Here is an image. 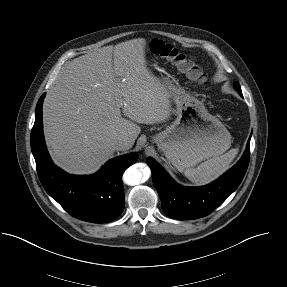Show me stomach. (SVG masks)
Listing matches in <instances>:
<instances>
[{
  "instance_id": "obj_1",
  "label": "stomach",
  "mask_w": 287,
  "mask_h": 287,
  "mask_svg": "<svg viewBox=\"0 0 287 287\" xmlns=\"http://www.w3.org/2000/svg\"><path fill=\"white\" fill-rule=\"evenodd\" d=\"M176 104V119L153 142L179 171L223 154L231 146L224 124L211 115L203 102L169 80L161 81Z\"/></svg>"
}]
</instances>
